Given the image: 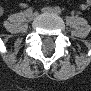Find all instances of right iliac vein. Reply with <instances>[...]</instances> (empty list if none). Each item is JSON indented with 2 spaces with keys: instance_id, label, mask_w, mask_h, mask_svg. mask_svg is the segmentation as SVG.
Returning a JSON list of instances; mask_svg holds the SVG:
<instances>
[{
  "instance_id": "right-iliac-vein-1",
  "label": "right iliac vein",
  "mask_w": 91,
  "mask_h": 91,
  "mask_svg": "<svg viewBox=\"0 0 91 91\" xmlns=\"http://www.w3.org/2000/svg\"><path fill=\"white\" fill-rule=\"evenodd\" d=\"M37 13L34 12H30L29 14L26 15V17L28 18V20L32 21L36 18Z\"/></svg>"
}]
</instances>
